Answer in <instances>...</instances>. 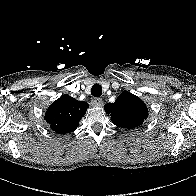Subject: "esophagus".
Segmentation results:
<instances>
[{
	"mask_svg": "<svg viewBox=\"0 0 196 196\" xmlns=\"http://www.w3.org/2000/svg\"><path fill=\"white\" fill-rule=\"evenodd\" d=\"M93 106H101L103 104L102 98H93L91 101Z\"/></svg>",
	"mask_w": 196,
	"mask_h": 196,
	"instance_id": "esophagus-1",
	"label": "esophagus"
}]
</instances>
